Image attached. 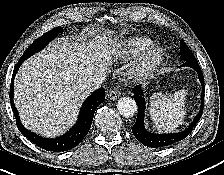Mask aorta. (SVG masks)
I'll list each match as a JSON object with an SVG mask.
<instances>
[{"label": "aorta", "instance_id": "762f6f07", "mask_svg": "<svg viewBox=\"0 0 224 175\" xmlns=\"http://www.w3.org/2000/svg\"><path fill=\"white\" fill-rule=\"evenodd\" d=\"M118 112L124 117H131L137 112V104L130 97H122L117 102Z\"/></svg>", "mask_w": 224, "mask_h": 175}]
</instances>
